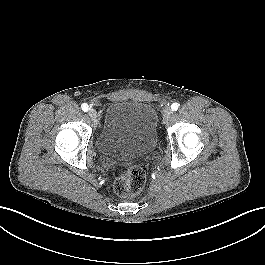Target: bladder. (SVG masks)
Segmentation results:
<instances>
[{
    "mask_svg": "<svg viewBox=\"0 0 265 265\" xmlns=\"http://www.w3.org/2000/svg\"><path fill=\"white\" fill-rule=\"evenodd\" d=\"M158 114L146 102H111L107 108L97 146L113 158L132 159L150 153L157 144Z\"/></svg>",
    "mask_w": 265,
    "mask_h": 265,
    "instance_id": "1",
    "label": "bladder"
}]
</instances>
